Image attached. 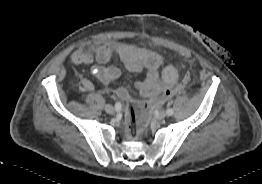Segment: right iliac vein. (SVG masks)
Returning <instances> with one entry per match:
<instances>
[{
  "instance_id": "1",
  "label": "right iliac vein",
  "mask_w": 262,
  "mask_h": 184,
  "mask_svg": "<svg viewBox=\"0 0 262 184\" xmlns=\"http://www.w3.org/2000/svg\"><path fill=\"white\" fill-rule=\"evenodd\" d=\"M105 111H106V113H108V114H113V113L115 112V109H114V107H113L112 105L107 104V105L105 106Z\"/></svg>"
}]
</instances>
